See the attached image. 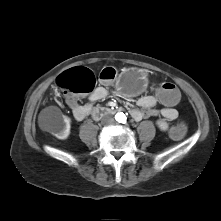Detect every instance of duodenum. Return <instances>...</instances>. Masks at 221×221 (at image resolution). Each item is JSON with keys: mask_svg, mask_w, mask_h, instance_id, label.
<instances>
[{"mask_svg": "<svg viewBox=\"0 0 221 221\" xmlns=\"http://www.w3.org/2000/svg\"><path fill=\"white\" fill-rule=\"evenodd\" d=\"M114 112H116V110L113 108L102 107V108H95L92 111L91 115L95 120H98V119L102 118L103 116L112 114Z\"/></svg>", "mask_w": 221, "mask_h": 221, "instance_id": "obj_1", "label": "duodenum"}]
</instances>
